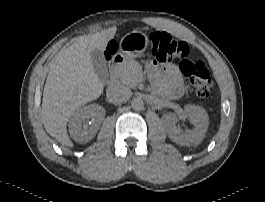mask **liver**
I'll return each instance as SVG.
<instances>
[{
    "label": "liver",
    "mask_w": 265,
    "mask_h": 202,
    "mask_svg": "<svg viewBox=\"0 0 265 202\" xmlns=\"http://www.w3.org/2000/svg\"><path fill=\"white\" fill-rule=\"evenodd\" d=\"M116 31V27H111L80 36L60 51L50 64L43 92L42 123L45 130L64 146L73 147L67 134L71 115L85 103L99 98L104 90L90 53L94 49L104 51Z\"/></svg>",
    "instance_id": "6515ba94"
}]
</instances>
